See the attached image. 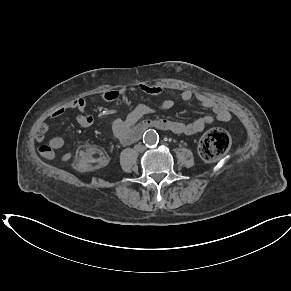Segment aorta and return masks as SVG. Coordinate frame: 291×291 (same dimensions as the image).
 <instances>
[{
	"mask_svg": "<svg viewBox=\"0 0 291 291\" xmlns=\"http://www.w3.org/2000/svg\"><path fill=\"white\" fill-rule=\"evenodd\" d=\"M143 141L146 146H154L158 141V134L156 131L148 130L144 133Z\"/></svg>",
	"mask_w": 291,
	"mask_h": 291,
	"instance_id": "1",
	"label": "aorta"
}]
</instances>
